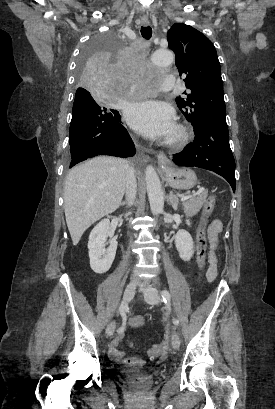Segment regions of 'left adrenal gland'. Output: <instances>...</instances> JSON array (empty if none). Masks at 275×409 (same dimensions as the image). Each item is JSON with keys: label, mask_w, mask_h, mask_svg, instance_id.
I'll return each instance as SVG.
<instances>
[{"label": "left adrenal gland", "mask_w": 275, "mask_h": 409, "mask_svg": "<svg viewBox=\"0 0 275 409\" xmlns=\"http://www.w3.org/2000/svg\"><path fill=\"white\" fill-rule=\"evenodd\" d=\"M178 198L176 194H173V190H170V194L167 196V205H172L174 211H177L178 209Z\"/></svg>", "instance_id": "1"}]
</instances>
